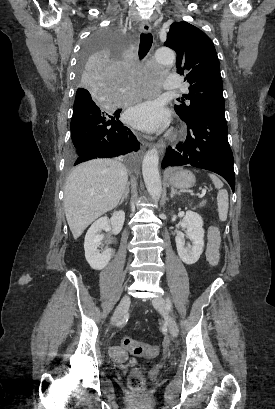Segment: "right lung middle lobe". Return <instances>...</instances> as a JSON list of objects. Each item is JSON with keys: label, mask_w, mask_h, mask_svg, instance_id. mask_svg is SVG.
Segmentation results:
<instances>
[{"label": "right lung middle lobe", "mask_w": 275, "mask_h": 409, "mask_svg": "<svg viewBox=\"0 0 275 409\" xmlns=\"http://www.w3.org/2000/svg\"><path fill=\"white\" fill-rule=\"evenodd\" d=\"M83 57H79L77 90L71 119V143L67 164L62 167V177L68 178L73 166L97 159L111 158L113 162L129 165L136 173L140 143L132 131L122 124L123 105L128 96H111L110 91H128L129 83L122 82L119 70L120 57L115 51H129L126 30H94L93 36L84 44Z\"/></svg>", "instance_id": "1"}]
</instances>
